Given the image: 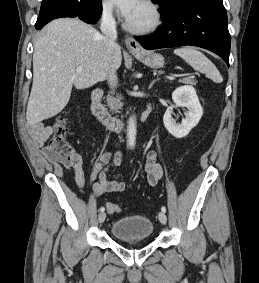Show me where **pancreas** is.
Returning <instances> with one entry per match:
<instances>
[{
	"instance_id": "cf45deb5",
	"label": "pancreas",
	"mask_w": 259,
	"mask_h": 283,
	"mask_svg": "<svg viewBox=\"0 0 259 283\" xmlns=\"http://www.w3.org/2000/svg\"><path fill=\"white\" fill-rule=\"evenodd\" d=\"M179 82L184 84L196 85V81L190 77H186L180 80ZM107 99H108V106L112 111H117L118 109H121L123 104L120 102L119 99H115L111 96H108Z\"/></svg>"
}]
</instances>
